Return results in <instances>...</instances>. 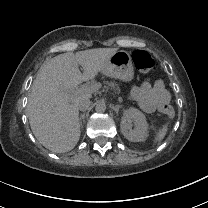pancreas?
Returning a JSON list of instances; mask_svg holds the SVG:
<instances>
[{
  "mask_svg": "<svg viewBox=\"0 0 208 208\" xmlns=\"http://www.w3.org/2000/svg\"><path fill=\"white\" fill-rule=\"evenodd\" d=\"M108 87L114 88L116 89L118 92H120V89L118 87L117 84H115L114 82H107Z\"/></svg>",
  "mask_w": 208,
  "mask_h": 208,
  "instance_id": "pancreas-1",
  "label": "pancreas"
}]
</instances>
